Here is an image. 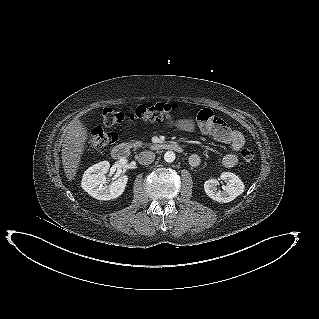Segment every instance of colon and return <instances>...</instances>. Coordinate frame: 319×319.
Segmentation results:
<instances>
[{"instance_id": "1", "label": "colon", "mask_w": 319, "mask_h": 319, "mask_svg": "<svg viewBox=\"0 0 319 319\" xmlns=\"http://www.w3.org/2000/svg\"><path fill=\"white\" fill-rule=\"evenodd\" d=\"M177 105L175 104H153L141 105L135 108L129 114H125L114 108H105L102 112L103 123L105 126H117L126 122L134 121H155L161 119H170L175 117ZM199 117H202V115ZM116 141V134L108 132L100 127L93 129L87 139V148L89 150H102ZM242 159L247 163L255 160V153L251 149L241 151Z\"/></svg>"}]
</instances>
